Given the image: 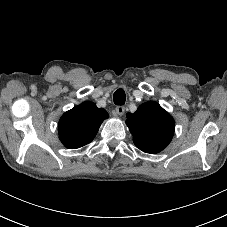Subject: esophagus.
<instances>
[{
  "instance_id": "1",
  "label": "esophagus",
  "mask_w": 227,
  "mask_h": 227,
  "mask_svg": "<svg viewBox=\"0 0 227 227\" xmlns=\"http://www.w3.org/2000/svg\"><path fill=\"white\" fill-rule=\"evenodd\" d=\"M115 111H116L117 115L122 116L125 112V107L124 106H117L115 108Z\"/></svg>"
}]
</instances>
